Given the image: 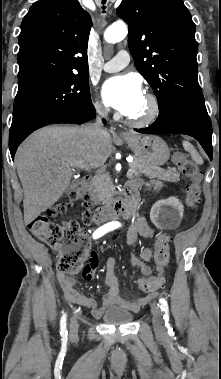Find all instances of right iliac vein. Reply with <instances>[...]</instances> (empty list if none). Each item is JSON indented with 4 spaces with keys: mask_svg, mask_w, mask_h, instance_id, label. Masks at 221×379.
Instances as JSON below:
<instances>
[{
    "mask_svg": "<svg viewBox=\"0 0 221 379\" xmlns=\"http://www.w3.org/2000/svg\"><path fill=\"white\" fill-rule=\"evenodd\" d=\"M77 332H78V323H77V320H76V318H72L71 319V323H70V333H71V336L75 337L77 335Z\"/></svg>",
    "mask_w": 221,
    "mask_h": 379,
    "instance_id": "obj_1",
    "label": "right iliac vein"
}]
</instances>
